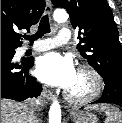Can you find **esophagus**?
Segmentation results:
<instances>
[{
	"mask_svg": "<svg viewBox=\"0 0 122 123\" xmlns=\"http://www.w3.org/2000/svg\"><path fill=\"white\" fill-rule=\"evenodd\" d=\"M52 13V5L51 2L48 0L45 7V14L50 15ZM44 96L47 100L53 101L56 99V96L49 90H44Z\"/></svg>",
	"mask_w": 122,
	"mask_h": 123,
	"instance_id": "1",
	"label": "esophagus"
}]
</instances>
